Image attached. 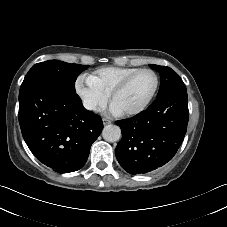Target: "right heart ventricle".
Here are the masks:
<instances>
[{"mask_svg": "<svg viewBox=\"0 0 227 227\" xmlns=\"http://www.w3.org/2000/svg\"><path fill=\"white\" fill-rule=\"evenodd\" d=\"M140 69L138 67H104L90 75L89 78L110 94L119 83Z\"/></svg>", "mask_w": 227, "mask_h": 227, "instance_id": "1", "label": "right heart ventricle"}]
</instances>
